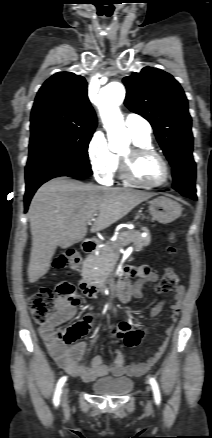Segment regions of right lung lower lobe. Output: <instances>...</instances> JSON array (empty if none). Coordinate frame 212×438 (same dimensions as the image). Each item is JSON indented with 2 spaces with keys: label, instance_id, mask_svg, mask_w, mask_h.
Wrapping results in <instances>:
<instances>
[{
  "label": "right lung lower lobe",
  "instance_id": "98d812e1",
  "mask_svg": "<svg viewBox=\"0 0 212 438\" xmlns=\"http://www.w3.org/2000/svg\"><path fill=\"white\" fill-rule=\"evenodd\" d=\"M92 174L91 168L73 165H33L26 167L25 212L37 188L46 181L59 177H86Z\"/></svg>",
  "mask_w": 212,
  "mask_h": 438
}]
</instances>
